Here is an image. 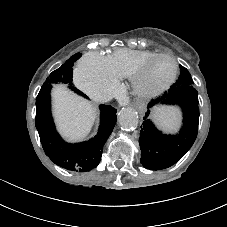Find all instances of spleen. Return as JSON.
<instances>
[{"instance_id":"3e777b00","label":"spleen","mask_w":227,"mask_h":227,"mask_svg":"<svg viewBox=\"0 0 227 227\" xmlns=\"http://www.w3.org/2000/svg\"><path fill=\"white\" fill-rule=\"evenodd\" d=\"M154 123L164 132H173L179 126L176 113L170 109L155 108L152 113Z\"/></svg>"}]
</instances>
